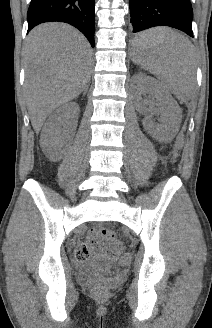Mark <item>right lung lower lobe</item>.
I'll list each match as a JSON object with an SVG mask.
<instances>
[{
    "label": "right lung lower lobe",
    "mask_w": 212,
    "mask_h": 328,
    "mask_svg": "<svg viewBox=\"0 0 212 328\" xmlns=\"http://www.w3.org/2000/svg\"><path fill=\"white\" fill-rule=\"evenodd\" d=\"M94 18V0H31L28 32L43 22H66L79 29L94 47Z\"/></svg>",
    "instance_id": "1"
}]
</instances>
